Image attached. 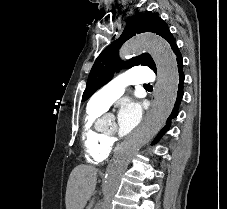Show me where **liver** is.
<instances>
[{"label": "liver", "mask_w": 227, "mask_h": 209, "mask_svg": "<svg viewBox=\"0 0 227 209\" xmlns=\"http://www.w3.org/2000/svg\"><path fill=\"white\" fill-rule=\"evenodd\" d=\"M94 167L78 165L73 169L67 183L66 209H84L96 185Z\"/></svg>", "instance_id": "1"}]
</instances>
